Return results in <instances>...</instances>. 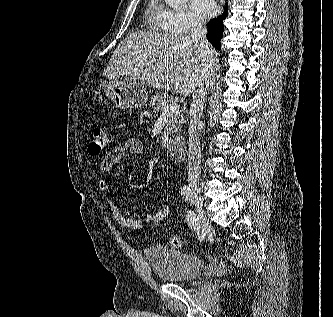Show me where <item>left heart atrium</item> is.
Here are the masks:
<instances>
[{
  "mask_svg": "<svg viewBox=\"0 0 333 317\" xmlns=\"http://www.w3.org/2000/svg\"><path fill=\"white\" fill-rule=\"evenodd\" d=\"M192 15L198 21L206 20L217 12V4L214 0H191Z\"/></svg>",
  "mask_w": 333,
  "mask_h": 317,
  "instance_id": "left-heart-atrium-1",
  "label": "left heart atrium"
}]
</instances>
